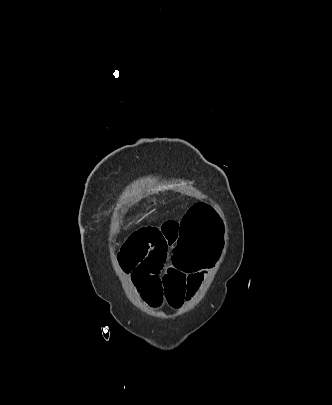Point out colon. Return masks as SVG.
<instances>
[{
	"label": "colon",
	"instance_id": "obj_1",
	"mask_svg": "<svg viewBox=\"0 0 332 405\" xmlns=\"http://www.w3.org/2000/svg\"><path fill=\"white\" fill-rule=\"evenodd\" d=\"M208 208V202H193L190 211H186V220H177L174 257L183 275H204V268H218L222 227L217 220L218 212Z\"/></svg>",
	"mask_w": 332,
	"mask_h": 405
}]
</instances>
